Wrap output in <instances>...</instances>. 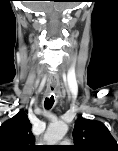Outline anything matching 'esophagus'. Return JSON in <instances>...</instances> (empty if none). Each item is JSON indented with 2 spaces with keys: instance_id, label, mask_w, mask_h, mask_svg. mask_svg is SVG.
Wrapping results in <instances>:
<instances>
[{
  "instance_id": "1",
  "label": "esophagus",
  "mask_w": 118,
  "mask_h": 151,
  "mask_svg": "<svg viewBox=\"0 0 118 151\" xmlns=\"http://www.w3.org/2000/svg\"><path fill=\"white\" fill-rule=\"evenodd\" d=\"M55 92V88L54 87H49V91H48V94L51 96L53 95Z\"/></svg>"
}]
</instances>
